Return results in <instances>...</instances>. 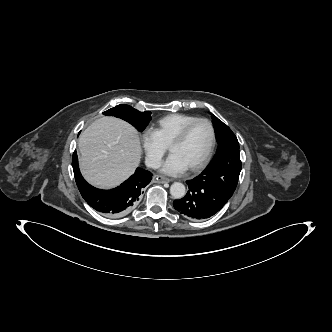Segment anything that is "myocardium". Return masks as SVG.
Listing matches in <instances>:
<instances>
[{"mask_svg": "<svg viewBox=\"0 0 332 332\" xmlns=\"http://www.w3.org/2000/svg\"><path fill=\"white\" fill-rule=\"evenodd\" d=\"M199 122H205L209 125V127L211 129V142H210V145H209L206 153L202 156V158L198 162H196L194 165H192L191 167L188 168V170L191 172H196V171L200 170L210 159V157L214 151V148L216 145V140H217V133H216V128H215L214 124L208 118H203V117L196 118V119L190 121L189 123H187L185 126H183L182 129L178 132V134L174 137V139L169 144V151H171V149L174 146H177L184 141V139L186 138L191 127Z\"/></svg>", "mask_w": 332, "mask_h": 332, "instance_id": "myocardium-1", "label": "myocardium"}]
</instances>
